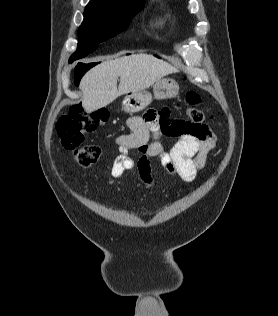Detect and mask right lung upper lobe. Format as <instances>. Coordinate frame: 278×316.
Segmentation results:
<instances>
[{"mask_svg":"<svg viewBox=\"0 0 278 316\" xmlns=\"http://www.w3.org/2000/svg\"><path fill=\"white\" fill-rule=\"evenodd\" d=\"M145 0H90L87 6H131Z\"/></svg>","mask_w":278,"mask_h":316,"instance_id":"right-lung-upper-lobe-1","label":"right lung upper lobe"}]
</instances>
